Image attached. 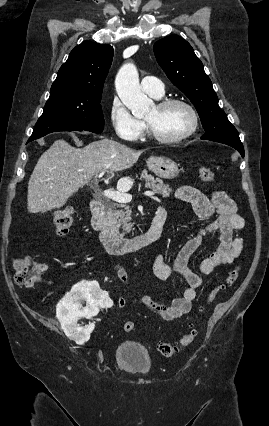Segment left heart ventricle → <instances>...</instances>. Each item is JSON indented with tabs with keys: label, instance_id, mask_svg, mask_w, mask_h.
Masks as SVG:
<instances>
[{
	"label": "left heart ventricle",
	"instance_id": "left-heart-ventricle-1",
	"mask_svg": "<svg viewBox=\"0 0 269 426\" xmlns=\"http://www.w3.org/2000/svg\"><path fill=\"white\" fill-rule=\"evenodd\" d=\"M145 120L164 137L179 136L189 130L192 125V116L182 105H172L163 110L154 106Z\"/></svg>",
	"mask_w": 269,
	"mask_h": 426
}]
</instances>
